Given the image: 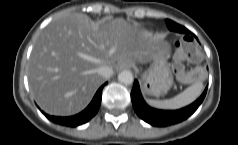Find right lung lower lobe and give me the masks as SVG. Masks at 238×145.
<instances>
[{
	"label": "right lung lower lobe",
	"instance_id": "obj_1",
	"mask_svg": "<svg viewBox=\"0 0 238 145\" xmlns=\"http://www.w3.org/2000/svg\"><path fill=\"white\" fill-rule=\"evenodd\" d=\"M107 83L103 84L98 91L96 92L93 100L88 105V107L82 111L81 113L71 116V117H56V116H50L44 113V115L52 122L68 126V127H76L79 125H82L86 122H88L91 118H93L96 113L98 112V109L100 107L101 103V97H102V89Z\"/></svg>",
	"mask_w": 238,
	"mask_h": 145
}]
</instances>
